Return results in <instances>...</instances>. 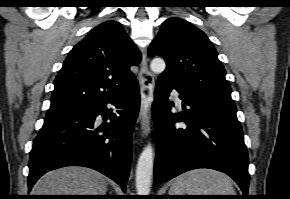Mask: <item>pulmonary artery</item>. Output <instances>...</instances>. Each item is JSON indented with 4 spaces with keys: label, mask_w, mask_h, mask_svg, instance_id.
I'll list each match as a JSON object with an SVG mask.
<instances>
[{
    "label": "pulmonary artery",
    "mask_w": 290,
    "mask_h": 199,
    "mask_svg": "<svg viewBox=\"0 0 290 199\" xmlns=\"http://www.w3.org/2000/svg\"><path fill=\"white\" fill-rule=\"evenodd\" d=\"M174 99L178 104H181V99H180L179 94L177 92H174Z\"/></svg>",
    "instance_id": "e3ab8cb5"
}]
</instances>
